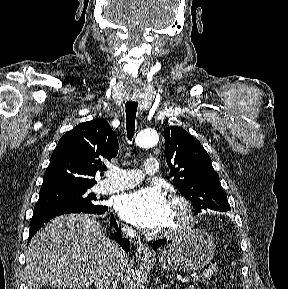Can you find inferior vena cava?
Wrapping results in <instances>:
<instances>
[{"label": "inferior vena cava", "instance_id": "obj_1", "mask_svg": "<svg viewBox=\"0 0 288 289\" xmlns=\"http://www.w3.org/2000/svg\"><path fill=\"white\" fill-rule=\"evenodd\" d=\"M121 230L123 234L131 238L136 236L135 230L130 227L123 226ZM124 256L122 248L118 244L112 243L109 260L95 277L96 289H117V282L122 274Z\"/></svg>", "mask_w": 288, "mask_h": 289}]
</instances>
